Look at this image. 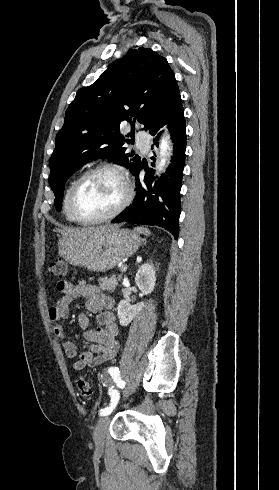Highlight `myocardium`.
<instances>
[{"instance_id": "f54148a6", "label": "myocardium", "mask_w": 279, "mask_h": 490, "mask_svg": "<svg viewBox=\"0 0 279 490\" xmlns=\"http://www.w3.org/2000/svg\"><path fill=\"white\" fill-rule=\"evenodd\" d=\"M103 172L112 173V174L116 175L121 180V182L124 186V191H125L124 197L120 201V203L115 207V209L112 210L111 212H109L103 216L93 218V219H88V220L82 219L78 216V213H77V207H76L77 197H78L84 183L90 177H92L96 174H99V173H103ZM132 198H133V189H132V186H131V183H130V180H129V177H128L126 170L123 167L116 165V164H110V163L99 164V165H96V166L86 170L76 180V182L73 186L72 192H71L70 211H71V214H72L74 220L79 224L90 225V224L102 223V222L111 220V219L119 216L127 208L129 203L131 202Z\"/></svg>"}]
</instances>
